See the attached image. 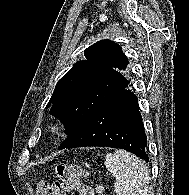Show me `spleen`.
Segmentation results:
<instances>
[{
	"label": "spleen",
	"mask_w": 189,
	"mask_h": 195,
	"mask_svg": "<svg viewBox=\"0 0 189 195\" xmlns=\"http://www.w3.org/2000/svg\"><path fill=\"white\" fill-rule=\"evenodd\" d=\"M105 166L115 177L114 190L117 195H148L150 175L143 160L117 149L106 155Z\"/></svg>",
	"instance_id": "spleen-1"
}]
</instances>
